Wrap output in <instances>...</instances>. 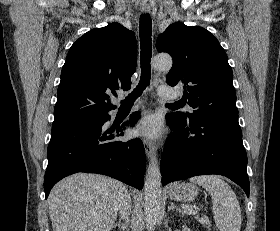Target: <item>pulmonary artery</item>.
Segmentation results:
<instances>
[{"label":"pulmonary artery","instance_id":"1","mask_svg":"<svg viewBox=\"0 0 280 231\" xmlns=\"http://www.w3.org/2000/svg\"><path fill=\"white\" fill-rule=\"evenodd\" d=\"M158 95L163 100H171L177 98L180 93L167 85H161L158 88Z\"/></svg>","mask_w":280,"mask_h":231}]
</instances>
